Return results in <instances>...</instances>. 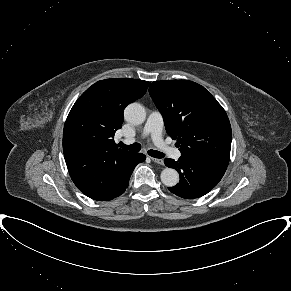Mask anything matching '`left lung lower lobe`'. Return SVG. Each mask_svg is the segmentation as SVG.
<instances>
[{
    "label": "left lung lower lobe",
    "mask_w": 291,
    "mask_h": 291,
    "mask_svg": "<svg viewBox=\"0 0 291 291\" xmlns=\"http://www.w3.org/2000/svg\"><path fill=\"white\" fill-rule=\"evenodd\" d=\"M164 163L180 174V182L168 189L180 197L194 199L204 196L218 184L227 169L229 159L181 155L178 161L165 159Z\"/></svg>",
    "instance_id": "obj_1"
}]
</instances>
